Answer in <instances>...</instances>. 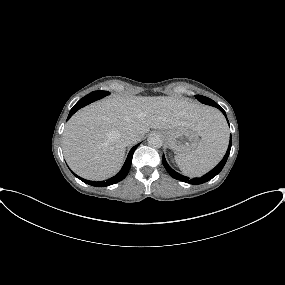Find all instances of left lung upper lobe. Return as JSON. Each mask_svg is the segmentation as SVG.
<instances>
[{"label":"left lung upper lobe","instance_id":"obj_1","mask_svg":"<svg viewBox=\"0 0 285 285\" xmlns=\"http://www.w3.org/2000/svg\"><path fill=\"white\" fill-rule=\"evenodd\" d=\"M195 97L197 98V100H199L200 102H202L204 104L211 105V106H214V107L218 106L217 103H215L212 99H210L208 97H205V96H202V95H195Z\"/></svg>","mask_w":285,"mask_h":285}]
</instances>
